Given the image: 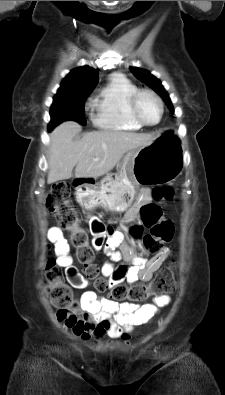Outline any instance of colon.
Segmentation results:
<instances>
[{
  "label": "colon",
  "mask_w": 225,
  "mask_h": 395,
  "mask_svg": "<svg viewBox=\"0 0 225 395\" xmlns=\"http://www.w3.org/2000/svg\"><path fill=\"white\" fill-rule=\"evenodd\" d=\"M152 196L158 202L169 201L173 198V190L170 187H158L152 191ZM45 205L47 211L56 218L59 227L68 233L75 260L83 267L82 279L94 280L95 287L99 291L108 290L112 301L142 303L151 296L171 293L176 289L174 264L158 271L155 277L146 284L129 285L118 282L110 285L109 282L99 277V269L94 262L93 247L72 204L68 184L64 182L53 184L46 197ZM140 218L142 225L149 229V233L142 238L143 251L157 252L163 244L172 240L173 224L162 218L157 204L144 205L140 210ZM131 233L134 237L143 235V228L136 226L132 228ZM45 280V290L50 302L58 311H65L73 301L71 281L67 280L66 270H60V266H56L55 258H49L46 263Z\"/></svg>",
  "instance_id": "colon-1"
}]
</instances>
